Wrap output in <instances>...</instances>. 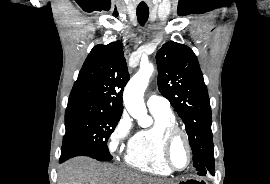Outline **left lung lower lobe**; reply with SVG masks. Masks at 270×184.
I'll return each instance as SVG.
<instances>
[{
	"instance_id": "left-lung-lower-lobe-1",
	"label": "left lung lower lobe",
	"mask_w": 270,
	"mask_h": 184,
	"mask_svg": "<svg viewBox=\"0 0 270 184\" xmlns=\"http://www.w3.org/2000/svg\"><path fill=\"white\" fill-rule=\"evenodd\" d=\"M207 172H201V173H199V175H204V174H206ZM212 175H214V172H210Z\"/></svg>"
}]
</instances>
